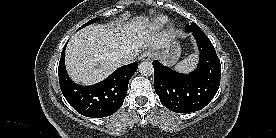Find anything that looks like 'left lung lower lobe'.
Wrapping results in <instances>:
<instances>
[{
    "mask_svg": "<svg viewBox=\"0 0 276 138\" xmlns=\"http://www.w3.org/2000/svg\"><path fill=\"white\" fill-rule=\"evenodd\" d=\"M200 51L197 68L182 74L162 65L154 67V88L161 103L176 113H190L204 108L220 85L221 65L214 46L201 29L192 31Z\"/></svg>",
    "mask_w": 276,
    "mask_h": 138,
    "instance_id": "obj_1",
    "label": "left lung lower lobe"
}]
</instances>
